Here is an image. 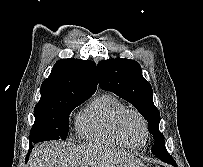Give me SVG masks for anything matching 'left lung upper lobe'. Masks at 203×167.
I'll use <instances>...</instances> for the list:
<instances>
[{"mask_svg":"<svg viewBox=\"0 0 203 167\" xmlns=\"http://www.w3.org/2000/svg\"><path fill=\"white\" fill-rule=\"evenodd\" d=\"M97 68L100 88L134 105L147 120L149 132L155 140L152 152L156 147L164 146V136L159 131L160 113L153 103L152 87L142 76L139 63L115 58L100 61Z\"/></svg>","mask_w":203,"mask_h":167,"instance_id":"obj_1","label":"left lung upper lobe"}]
</instances>
